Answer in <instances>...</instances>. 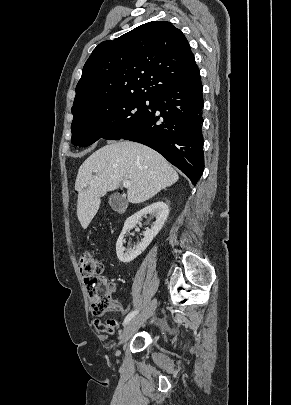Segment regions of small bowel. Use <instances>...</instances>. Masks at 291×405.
<instances>
[{
    "label": "small bowel",
    "instance_id": "obj_1",
    "mask_svg": "<svg viewBox=\"0 0 291 405\" xmlns=\"http://www.w3.org/2000/svg\"><path fill=\"white\" fill-rule=\"evenodd\" d=\"M110 294H113L116 291V287L114 284L110 285ZM111 311H118V312H123L125 313L126 310L123 308V306L116 300L112 299V304H111ZM95 328L102 333H108V334H113L115 329L118 326L117 321L113 319H109L106 322H102L99 319H96L94 321Z\"/></svg>",
    "mask_w": 291,
    "mask_h": 405
}]
</instances>
